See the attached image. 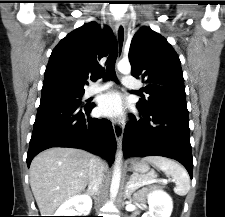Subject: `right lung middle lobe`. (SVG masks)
Segmentation results:
<instances>
[{"label": "right lung middle lobe", "mask_w": 225, "mask_h": 217, "mask_svg": "<svg viewBox=\"0 0 225 217\" xmlns=\"http://www.w3.org/2000/svg\"><path fill=\"white\" fill-rule=\"evenodd\" d=\"M84 93L56 92L41 95L40 104L61 103L74 106L81 105V97Z\"/></svg>", "instance_id": "1"}]
</instances>
